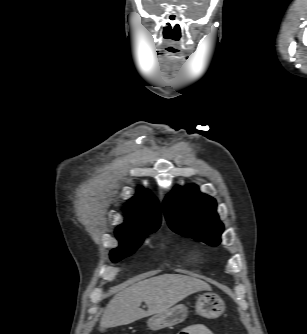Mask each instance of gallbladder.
I'll return each mask as SVG.
<instances>
[{
	"instance_id": "gallbladder-1",
	"label": "gallbladder",
	"mask_w": 307,
	"mask_h": 334,
	"mask_svg": "<svg viewBox=\"0 0 307 334\" xmlns=\"http://www.w3.org/2000/svg\"><path fill=\"white\" fill-rule=\"evenodd\" d=\"M99 330H100V331H104V330H105V328H103V327H101V326H100V329H99Z\"/></svg>"
}]
</instances>
